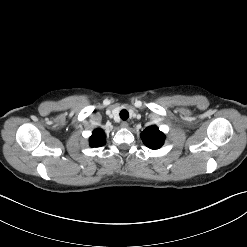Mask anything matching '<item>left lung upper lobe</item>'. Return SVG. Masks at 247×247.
I'll return each mask as SVG.
<instances>
[{"instance_id":"5c2ea615","label":"left lung upper lobe","mask_w":247,"mask_h":247,"mask_svg":"<svg viewBox=\"0 0 247 247\" xmlns=\"http://www.w3.org/2000/svg\"><path fill=\"white\" fill-rule=\"evenodd\" d=\"M141 138L148 148L159 149L164 144L165 135L159 131L157 126L152 125L141 133Z\"/></svg>"}]
</instances>
